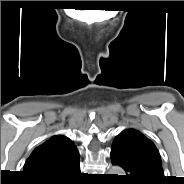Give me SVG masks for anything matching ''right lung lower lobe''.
Wrapping results in <instances>:
<instances>
[{
	"label": "right lung lower lobe",
	"instance_id": "1",
	"mask_svg": "<svg viewBox=\"0 0 184 184\" xmlns=\"http://www.w3.org/2000/svg\"><path fill=\"white\" fill-rule=\"evenodd\" d=\"M80 175L79 159L71 163L65 171L54 178L35 179V184H73L76 177Z\"/></svg>",
	"mask_w": 184,
	"mask_h": 184
}]
</instances>
